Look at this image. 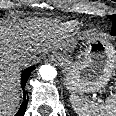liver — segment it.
I'll return each instance as SVG.
<instances>
[{
  "label": "liver",
  "instance_id": "obj_1",
  "mask_svg": "<svg viewBox=\"0 0 116 116\" xmlns=\"http://www.w3.org/2000/svg\"><path fill=\"white\" fill-rule=\"evenodd\" d=\"M37 21L26 25L24 31L20 28L0 24V116H10L19 103L17 89V74L19 58L23 54L32 55L38 51L31 40L32 29ZM45 51V50H40Z\"/></svg>",
  "mask_w": 116,
  "mask_h": 116
}]
</instances>
